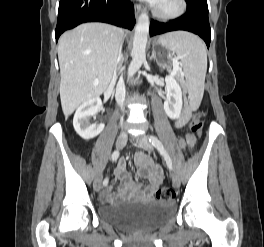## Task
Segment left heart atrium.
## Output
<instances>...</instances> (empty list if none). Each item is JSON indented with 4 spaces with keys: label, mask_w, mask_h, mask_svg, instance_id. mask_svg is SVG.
<instances>
[{
    "label": "left heart atrium",
    "mask_w": 264,
    "mask_h": 247,
    "mask_svg": "<svg viewBox=\"0 0 264 247\" xmlns=\"http://www.w3.org/2000/svg\"><path fill=\"white\" fill-rule=\"evenodd\" d=\"M148 1L154 5H157L160 2V0H148Z\"/></svg>",
    "instance_id": "39dd6f15"
}]
</instances>
